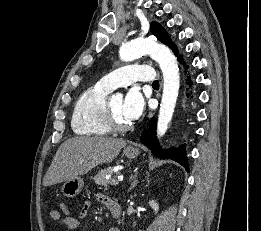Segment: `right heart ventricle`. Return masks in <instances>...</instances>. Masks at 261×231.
Instances as JSON below:
<instances>
[{
	"instance_id": "e07e8e85",
	"label": "right heart ventricle",
	"mask_w": 261,
	"mask_h": 231,
	"mask_svg": "<svg viewBox=\"0 0 261 231\" xmlns=\"http://www.w3.org/2000/svg\"><path fill=\"white\" fill-rule=\"evenodd\" d=\"M110 89L97 83L81 94L74 104L71 127L80 136H107L111 129L104 120L105 104Z\"/></svg>"
}]
</instances>
